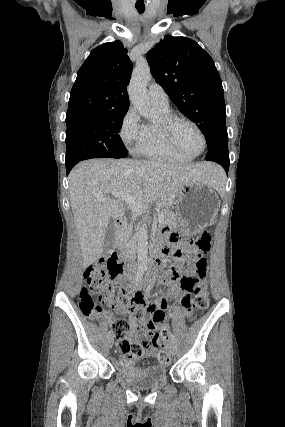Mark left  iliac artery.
Returning <instances> with one entry per match:
<instances>
[{"label":"left iliac artery","instance_id":"obj_1","mask_svg":"<svg viewBox=\"0 0 285 427\" xmlns=\"http://www.w3.org/2000/svg\"><path fill=\"white\" fill-rule=\"evenodd\" d=\"M170 337H171V341H172L173 343H176L175 336H174L172 333L170 334Z\"/></svg>","mask_w":285,"mask_h":427}]
</instances>
